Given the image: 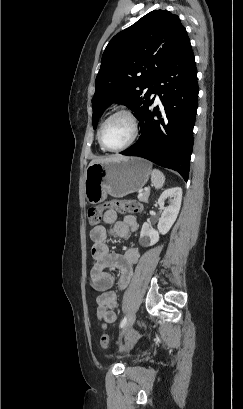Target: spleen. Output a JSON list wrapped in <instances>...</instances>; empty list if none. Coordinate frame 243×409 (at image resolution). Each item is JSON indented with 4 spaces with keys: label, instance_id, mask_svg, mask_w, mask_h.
<instances>
[{
    "label": "spleen",
    "instance_id": "1",
    "mask_svg": "<svg viewBox=\"0 0 243 409\" xmlns=\"http://www.w3.org/2000/svg\"><path fill=\"white\" fill-rule=\"evenodd\" d=\"M165 182V176L163 173L157 169L151 172V183L156 188L159 189L163 186Z\"/></svg>",
    "mask_w": 243,
    "mask_h": 409
}]
</instances>
